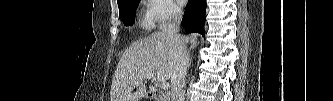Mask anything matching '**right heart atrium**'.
<instances>
[{"instance_id": "d8ad5b80", "label": "right heart atrium", "mask_w": 333, "mask_h": 101, "mask_svg": "<svg viewBox=\"0 0 333 101\" xmlns=\"http://www.w3.org/2000/svg\"><path fill=\"white\" fill-rule=\"evenodd\" d=\"M145 24L149 28L162 27L177 20L180 11L170 0H148Z\"/></svg>"}]
</instances>
